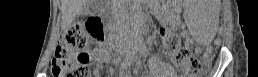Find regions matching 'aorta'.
<instances>
[{"label": "aorta", "instance_id": "obj_1", "mask_svg": "<svg viewBox=\"0 0 258 77\" xmlns=\"http://www.w3.org/2000/svg\"><path fill=\"white\" fill-rule=\"evenodd\" d=\"M130 14L136 22H141L142 10L139 0H134L131 6Z\"/></svg>", "mask_w": 258, "mask_h": 77}]
</instances>
